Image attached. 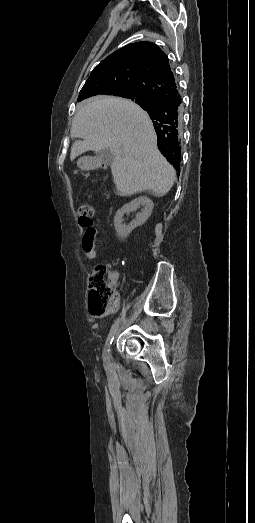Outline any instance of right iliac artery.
Instances as JSON below:
<instances>
[{
	"mask_svg": "<svg viewBox=\"0 0 255 523\" xmlns=\"http://www.w3.org/2000/svg\"><path fill=\"white\" fill-rule=\"evenodd\" d=\"M118 324H119V318L115 321V323L112 325L111 327V330L109 332V335L107 337V340H106V343H105V346H104V349H103V355H102V358H103V362L105 364L106 367H109V352H110V346L112 344V341L114 339V335L117 331V328H118Z\"/></svg>",
	"mask_w": 255,
	"mask_h": 523,
	"instance_id": "right-iliac-artery-1",
	"label": "right iliac artery"
}]
</instances>
